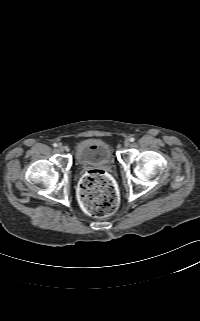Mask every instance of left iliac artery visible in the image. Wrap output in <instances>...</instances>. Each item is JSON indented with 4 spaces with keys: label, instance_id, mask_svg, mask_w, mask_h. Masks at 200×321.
Segmentation results:
<instances>
[{
    "label": "left iliac artery",
    "instance_id": "1",
    "mask_svg": "<svg viewBox=\"0 0 200 321\" xmlns=\"http://www.w3.org/2000/svg\"><path fill=\"white\" fill-rule=\"evenodd\" d=\"M130 141H131V142H134V141H135V138H133V137L130 138Z\"/></svg>",
    "mask_w": 200,
    "mask_h": 321
}]
</instances>
